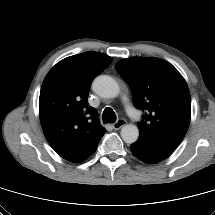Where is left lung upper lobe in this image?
<instances>
[{
    "label": "left lung upper lobe",
    "mask_w": 215,
    "mask_h": 215,
    "mask_svg": "<svg viewBox=\"0 0 215 215\" xmlns=\"http://www.w3.org/2000/svg\"><path fill=\"white\" fill-rule=\"evenodd\" d=\"M128 83L133 103L144 112L138 122L139 138L174 152L190 123L191 98L188 86L169 62L154 57H132L116 64Z\"/></svg>",
    "instance_id": "5c2ea615"
}]
</instances>
